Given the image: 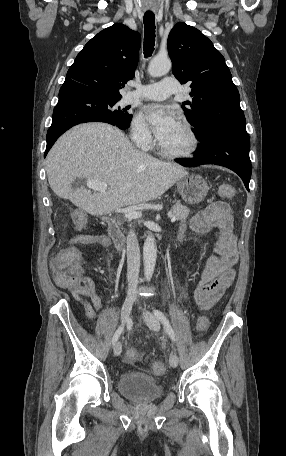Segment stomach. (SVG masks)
<instances>
[{"instance_id": "stomach-1", "label": "stomach", "mask_w": 286, "mask_h": 456, "mask_svg": "<svg viewBox=\"0 0 286 456\" xmlns=\"http://www.w3.org/2000/svg\"><path fill=\"white\" fill-rule=\"evenodd\" d=\"M177 187L182 199L191 205L203 201L209 190L207 182L199 175L184 177Z\"/></svg>"}]
</instances>
